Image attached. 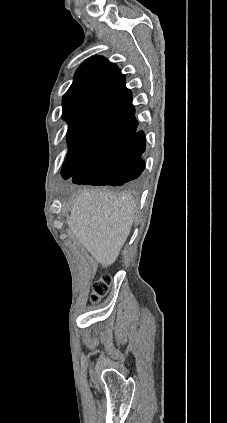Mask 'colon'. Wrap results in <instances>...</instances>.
I'll return each instance as SVG.
<instances>
[{"instance_id": "colon-1", "label": "colon", "mask_w": 227, "mask_h": 423, "mask_svg": "<svg viewBox=\"0 0 227 423\" xmlns=\"http://www.w3.org/2000/svg\"><path fill=\"white\" fill-rule=\"evenodd\" d=\"M110 289V278L104 276L93 284L91 301L98 302L102 297L106 296Z\"/></svg>"}]
</instances>
